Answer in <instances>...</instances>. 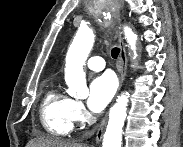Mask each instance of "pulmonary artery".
I'll list each match as a JSON object with an SVG mask.
<instances>
[{
    "instance_id": "pulmonary-artery-1",
    "label": "pulmonary artery",
    "mask_w": 183,
    "mask_h": 147,
    "mask_svg": "<svg viewBox=\"0 0 183 147\" xmlns=\"http://www.w3.org/2000/svg\"><path fill=\"white\" fill-rule=\"evenodd\" d=\"M87 67L93 71H101L105 67V61L102 57L94 56L87 60Z\"/></svg>"
}]
</instances>
